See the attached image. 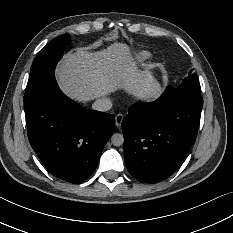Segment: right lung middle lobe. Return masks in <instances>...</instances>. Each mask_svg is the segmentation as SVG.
<instances>
[{
    "instance_id": "dd1d6c3e",
    "label": "right lung middle lobe",
    "mask_w": 233,
    "mask_h": 233,
    "mask_svg": "<svg viewBox=\"0 0 233 233\" xmlns=\"http://www.w3.org/2000/svg\"><path fill=\"white\" fill-rule=\"evenodd\" d=\"M68 34L54 38L34 59L26 88L25 102L42 92L55 80L54 70L63 55L65 46L69 43Z\"/></svg>"
}]
</instances>
